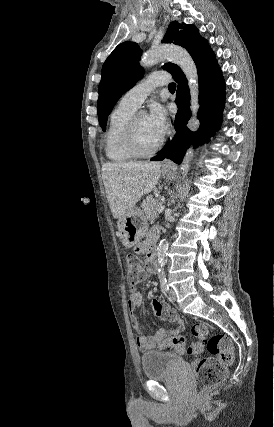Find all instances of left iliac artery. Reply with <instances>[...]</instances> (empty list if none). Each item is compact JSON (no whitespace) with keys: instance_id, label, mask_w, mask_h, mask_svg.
I'll return each mask as SVG.
<instances>
[{"instance_id":"1","label":"left iliac artery","mask_w":274,"mask_h":427,"mask_svg":"<svg viewBox=\"0 0 274 427\" xmlns=\"http://www.w3.org/2000/svg\"><path fill=\"white\" fill-rule=\"evenodd\" d=\"M161 288L163 291L168 292L169 291V285L167 283V280H161Z\"/></svg>"}]
</instances>
